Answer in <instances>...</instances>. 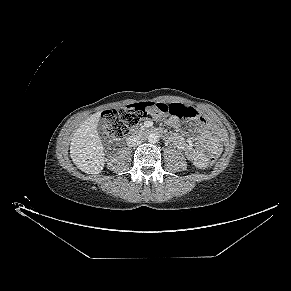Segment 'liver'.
<instances>
[{"label":"liver","instance_id":"obj_1","mask_svg":"<svg viewBox=\"0 0 291 291\" xmlns=\"http://www.w3.org/2000/svg\"><path fill=\"white\" fill-rule=\"evenodd\" d=\"M100 112L94 113L76 130L70 155L73 163L83 172L99 174L105 163L104 148L97 131Z\"/></svg>","mask_w":291,"mask_h":291}]
</instances>
